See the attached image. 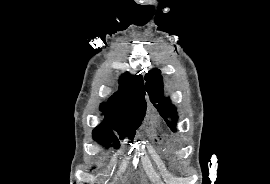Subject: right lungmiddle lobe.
Here are the masks:
<instances>
[{"mask_svg": "<svg viewBox=\"0 0 270 184\" xmlns=\"http://www.w3.org/2000/svg\"><path fill=\"white\" fill-rule=\"evenodd\" d=\"M140 124L141 121L128 125L101 124L93 131V136L96 141L103 144L105 147H108L112 140V146L118 148L120 143L118 138L113 134L112 130L118 132L120 135L119 139L128 137L132 140L135 135V130L140 126Z\"/></svg>", "mask_w": 270, "mask_h": 184, "instance_id": "dd1d6c3e", "label": "right lung middle lobe"}]
</instances>
